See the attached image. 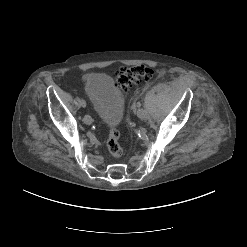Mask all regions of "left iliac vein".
Instances as JSON below:
<instances>
[{
  "instance_id": "obj_1",
  "label": "left iliac vein",
  "mask_w": 247,
  "mask_h": 247,
  "mask_svg": "<svg viewBox=\"0 0 247 247\" xmlns=\"http://www.w3.org/2000/svg\"><path fill=\"white\" fill-rule=\"evenodd\" d=\"M137 116L142 120L148 119V114L145 112L143 115L139 114L138 111L136 112Z\"/></svg>"
}]
</instances>
